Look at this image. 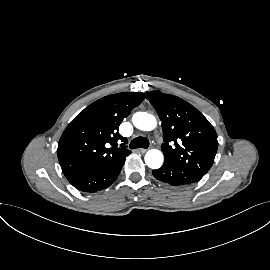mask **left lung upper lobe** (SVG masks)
<instances>
[{
    "instance_id": "obj_1",
    "label": "left lung upper lobe",
    "mask_w": 270,
    "mask_h": 270,
    "mask_svg": "<svg viewBox=\"0 0 270 270\" xmlns=\"http://www.w3.org/2000/svg\"><path fill=\"white\" fill-rule=\"evenodd\" d=\"M146 93L162 121L164 144L161 149L165 162L204 176L211 168L218 148L213 126L195 107L177 96L160 91Z\"/></svg>"
}]
</instances>
